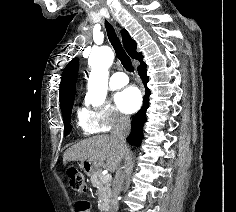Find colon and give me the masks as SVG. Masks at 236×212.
<instances>
[{
	"label": "colon",
	"mask_w": 236,
	"mask_h": 212,
	"mask_svg": "<svg viewBox=\"0 0 236 212\" xmlns=\"http://www.w3.org/2000/svg\"><path fill=\"white\" fill-rule=\"evenodd\" d=\"M67 174L71 188L78 193H86L87 186L83 173L79 169L72 167L68 169Z\"/></svg>",
	"instance_id": "obj_1"
}]
</instances>
